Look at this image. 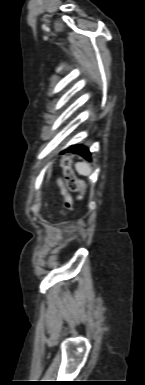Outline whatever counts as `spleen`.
Here are the masks:
<instances>
[{
  "label": "spleen",
  "instance_id": "1",
  "mask_svg": "<svg viewBox=\"0 0 145 385\" xmlns=\"http://www.w3.org/2000/svg\"><path fill=\"white\" fill-rule=\"evenodd\" d=\"M75 168L80 175L89 176L91 174V168L87 162H77Z\"/></svg>",
  "mask_w": 145,
  "mask_h": 385
}]
</instances>
